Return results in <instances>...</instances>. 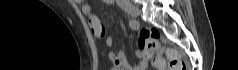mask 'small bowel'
Returning <instances> with one entry per match:
<instances>
[{"label": "small bowel", "instance_id": "small-bowel-1", "mask_svg": "<svg viewBox=\"0 0 238 70\" xmlns=\"http://www.w3.org/2000/svg\"><path fill=\"white\" fill-rule=\"evenodd\" d=\"M104 2L111 3L112 0H104ZM81 11L88 20V25L92 35L98 39L104 37L106 34L104 24L99 19V17L92 12L90 4L87 2H82ZM105 44L110 47L113 44L112 38L107 37L105 40ZM138 46L139 49L136 51V57L140 59V62L134 67L128 65L124 51H111L109 53V57L115 64L114 68L118 70H146L148 68L151 54L147 53L144 45V39L142 38V36H140L138 40Z\"/></svg>", "mask_w": 238, "mask_h": 70}]
</instances>
